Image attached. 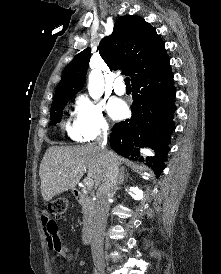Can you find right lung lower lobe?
I'll list each match as a JSON object with an SVG mask.
<instances>
[{"label": "right lung lower lobe", "mask_w": 221, "mask_h": 274, "mask_svg": "<svg viewBox=\"0 0 221 274\" xmlns=\"http://www.w3.org/2000/svg\"><path fill=\"white\" fill-rule=\"evenodd\" d=\"M132 117L115 124L110 134L112 149L129 159L145 161L159 176L175 129V87L169 58L148 74L132 81ZM150 147L155 156L143 158L139 149Z\"/></svg>", "instance_id": "obj_1"}]
</instances>
